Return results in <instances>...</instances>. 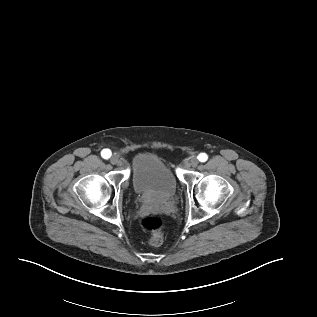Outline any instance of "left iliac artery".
<instances>
[{"mask_svg":"<svg viewBox=\"0 0 317 317\" xmlns=\"http://www.w3.org/2000/svg\"><path fill=\"white\" fill-rule=\"evenodd\" d=\"M200 162H205L208 159V155L206 153H200L197 157Z\"/></svg>","mask_w":317,"mask_h":317,"instance_id":"1","label":"left iliac artery"}]
</instances>
